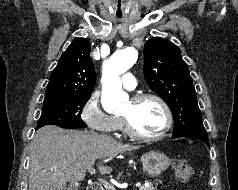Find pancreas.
Returning a JSON list of instances; mask_svg holds the SVG:
<instances>
[{"instance_id":"cf45deb5","label":"pancreas","mask_w":238,"mask_h":190,"mask_svg":"<svg viewBox=\"0 0 238 190\" xmlns=\"http://www.w3.org/2000/svg\"><path fill=\"white\" fill-rule=\"evenodd\" d=\"M101 190H112L109 187H105V189ZM139 190H155L154 186L150 183L148 186H141Z\"/></svg>"}]
</instances>
